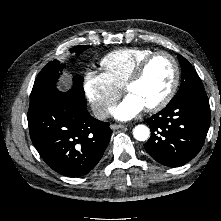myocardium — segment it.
<instances>
[{
  "mask_svg": "<svg viewBox=\"0 0 221 221\" xmlns=\"http://www.w3.org/2000/svg\"><path fill=\"white\" fill-rule=\"evenodd\" d=\"M160 55L166 56L172 62L173 70H174L173 80L165 96L157 103L146 107V110L149 112H156V111L163 109L170 103V101L173 99L174 95L176 94L177 88L179 86V81H180V66L176 58L171 53L164 51V50L153 51L152 53L144 57L137 64L133 73L131 74V76L128 78L127 82L124 85V88L127 91L130 86L137 83L143 77L145 70L147 66L149 65V63L155 57L160 56Z\"/></svg>",
  "mask_w": 221,
  "mask_h": 221,
  "instance_id": "obj_1",
  "label": "myocardium"
}]
</instances>
